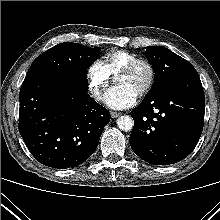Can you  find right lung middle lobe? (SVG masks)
<instances>
[{"label": "right lung middle lobe", "mask_w": 220, "mask_h": 220, "mask_svg": "<svg viewBox=\"0 0 220 220\" xmlns=\"http://www.w3.org/2000/svg\"><path fill=\"white\" fill-rule=\"evenodd\" d=\"M100 47L89 48L72 42L60 43L39 55L27 75L38 73H83L98 58ZM26 75V76H27Z\"/></svg>", "instance_id": "right-lung-middle-lobe-1"}]
</instances>
